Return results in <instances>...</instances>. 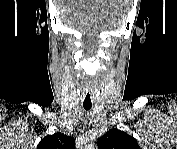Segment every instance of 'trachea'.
<instances>
[{
  "label": "trachea",
  "mask_w": 177,
  "mask_h": 149,
  "mask_svg": "<svg viewBox=\"0 0 177 149\" xmlns=\"http://www.w3.org/2000/svg\"><path fill=\"white\" fill-rule=\"evenodd\" d=\"M87 96H89V98H90L89 94ZM83 107H84L85 110H90L91 107H92V104L83 102Z\"/></svg>",
  "instance_id": "trachea-1"
}]
</instances>
